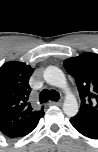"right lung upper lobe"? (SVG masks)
I'll list each match as a JSON object with an SVG mask.
<instances>
[{
    "mask_svg": "<svg viewBox=\"0 0 98 152\" xmlns=\"http://www.w3.org/2000/svg\"><path fill=\"white\" fill-rule=\"evenodd\" d=\"M34 69L11 61L0 68V132L14 138L37 122L44 111H36L29 102V78Z\"/></svg>",
    "mask_w": 98,
    "mask_h": 152,
    "instance_id": "right-lung-upper-lobe-1",
    "label": "right lung upper lobe"
}]
</instances>
